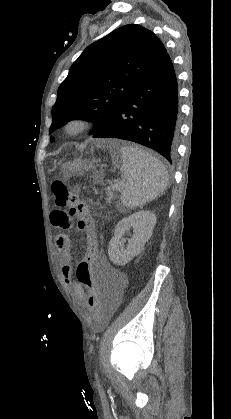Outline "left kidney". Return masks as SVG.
<instances>
[{
  "mask_svg": "<svg viewBox=\"0 0 231 419\" xmlns=\"http://www.w3.org/2000/svg\"><path fill=\"white\" fill-rule=\"evenodd\" d=\"M155 225L156 216L150 211H139L119 221L108 246L110 260L119 266L130 262L142 251L145 243L152 236ZM131 228H133V235L128 239L127 247L124 248L126 242L124 235Z\"/></svg>",
  "mask_w": 231,
  "mask_h": 419,
  "instance_id": "left-kidney-1",
  "label": "left kidney"
}]
</instances>
